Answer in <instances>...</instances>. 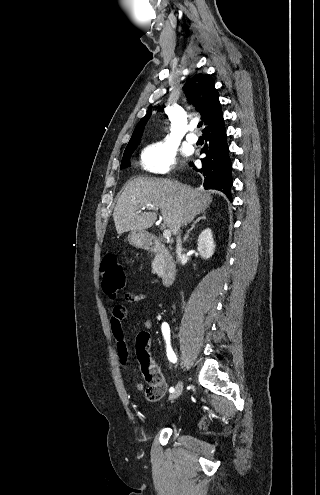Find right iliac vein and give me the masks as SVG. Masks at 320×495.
Returning a JSON list of instances; mask_svg holds the SVG:
<instances>
[{"instance_id":"1","label":"right iliac vein","mask_w":320,"mask_h":495,"mask_svg":"<svg viewBox=\"0 0 320 495\" xmlns=\"http://www.w3.org/2000/svg\"><path fill=\"white\" fill-rule=\"evenodd\" d=\"M182 391H183V383L180 381L176 385L174 391L169 395V400L177 399L181 395Z\"/></svg>"}]
</instances>
